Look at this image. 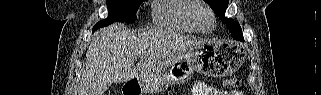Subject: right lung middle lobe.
<instances>
[{"mask_svg": "<svg viewBox=\"0 0 321 95\" xmlns=\"http://www.w3.org/2000/svg\"><path fill=\"white\" fill-rule=\"evenodd\" d=\"M142 2L143 0H107L108 17L99 21L93 27L92 32L113 22H134L137 19L135 13Z\"/></svg>", "mask_w": 321, "mask_h": 95, "instance_id": "dd1d6c3e", "label": "right lung middle lobe"}]
</instances>
